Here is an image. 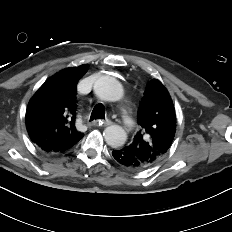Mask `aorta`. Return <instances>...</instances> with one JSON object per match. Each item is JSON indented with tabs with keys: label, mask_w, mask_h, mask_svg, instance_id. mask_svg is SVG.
<instances>
[{
	"label": "aorta",
	"mask_w": 232,
	"mask_h": 232,
	"mask_svg": "<svg viewBox=\"0 0 232 232\" xmlns=\"http://www.w3.org/2000/svg\"><path fill=\"white\" fill-rule=\"evenodd\" d=\"M93 89L96 96L109 102L119 101L124 95L121 84L111 76L100 77ZM103 135L106 143L113 148L123 146L127 140L126 131L119 125L108 126Z\"/></svg>",
	"instance_id": "1"
}]
</instances>
